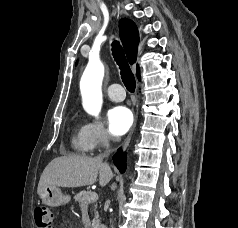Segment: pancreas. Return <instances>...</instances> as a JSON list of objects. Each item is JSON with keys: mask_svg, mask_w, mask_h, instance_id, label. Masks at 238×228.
<instances>
[{"mask_svg": "<svg viewBox=\"0 0 238 228\" xmlns=\"http://www.w3.org/2000/svg\"><path fill=\"white\" fill-rule=\"evenodd\" d=\"M90 193H91L90 191L83 190L80 193H77L74 196V199L80 204L81 207L88 206L89 204H94L96 200L88 199V196L90 195ZM94 213L95 215H94V219L92 220V228H99L100 220H99V214L96 211V209L94 210Z\"/></svg>", "mask_w": 238, "mask_h": 228, "instance_id": "cf45deb5", "label": "pancreas"}]
</instances>
